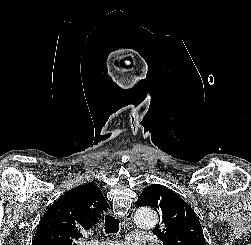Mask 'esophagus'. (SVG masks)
Wrapping results in <instances>:
<instances>
[{"mask_svg": "<svg viewBox=\"0 0 251 245\" xmlns=\"http://www.w3.org/2000/svg\"><path fill=\"white\" fill-rule=\"evenodd\" d=\"M134 214V208H131L125 217H123V223H130Z\"/></svg>", "mask_w": 251, "mask_h": 245, "instance_id": "34e87169", "label": "esophagus"}]
</instances>
